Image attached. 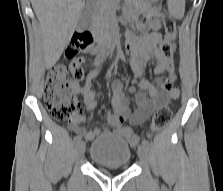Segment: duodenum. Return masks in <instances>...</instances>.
Listing matches in <instances>:
<instances>
[{"label":"duodenum","mask_w":223,"mask_h":191,"mask_svg":"<svg viewBox=\"0 0 223 191\" xmlns=\"http://www.w3.org/2000/svg\"><path fill=\"white\" fill-rule=\"evenodd\" d=\"M116 38H111V39H104L101 42V54H108L111 50L112 47L116 45Z\"/></svg>","instance_id":"duodenum-1"}]
</instances>
